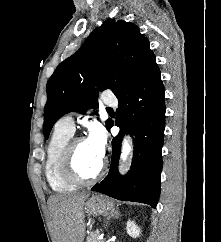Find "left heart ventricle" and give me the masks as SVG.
<instances>
[{
  "instance_id": "obj_1",
  "label": "left heart ventricle",
  "mask_w": 221,
  "mask_h": 242,
  "mask_svg": "<svg viewBox=\"0 0 221 242\" xmlns=\"http://www.w3.org/2000/svg\"><path fill=\"white\" fill-rule=\"evenodd\" d=\"M101 161L102 158L92 151L85 140L77 143L75 164L81 174L85 176L94 174L98 170Z\"/></svg>"
}]
</instances>
